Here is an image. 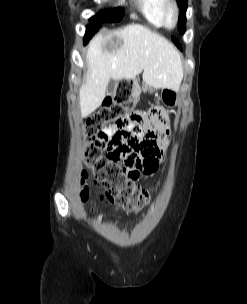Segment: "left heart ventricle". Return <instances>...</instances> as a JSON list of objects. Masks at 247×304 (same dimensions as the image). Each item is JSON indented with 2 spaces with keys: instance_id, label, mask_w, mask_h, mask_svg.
Here are the masks:
<instances>
[{
  "instance_id": "left-heart-ventricle-1",
  "label": "left heart ventricle",
  "mask_w": 247,
  "mask_h": 304,
  "mask_svg": "<svg viewBox=\"0 0 247 304\" xmlns=\"http://www.w3.org/2000/svg\"><path fill=\"white\" fill-rule=\"evenodd\" d=\"M169 22H170V23L173 22V16H172V15H170Z\"/></svg>"
}]
</instances>
